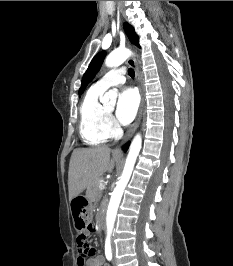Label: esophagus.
<instances>
[{
    "label": "esophagus",
    "instance_id": "obj_1",
    "mask_svg": "<svg viewBox=\"0 0 233 266\" xmlns=\"http://www.w3.org/2000/svg\"><path fill=\"white\" fill-rule=\"evenodd\" d=\"M127 63L129 66H131L134 71H135V79H136V83L140 92V96H141V101H140V106H139V110L136 116V119L134 121V123L131 125L130 129L128 130V132L126 133L122 144H124L126 141H128V139L131 137V135L133 134V132L135 131V129L137 128V126L140 123L142 114H143V108H144V96H143V90L141 87V82H140V74H139V70L136 64V61L133 57H129L127 60ZM115 152H119L120 151V147L116 148L114 150Z\"/></svg>",
    "mask_w": 233,
    "mask_h": 266
}]
</instances>
